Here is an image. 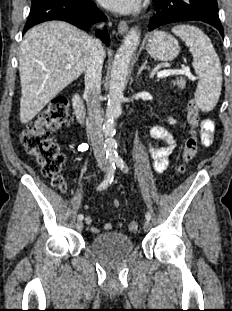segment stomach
Masks as SVG:
<instances>
[{
  "instance_id": "obj_1",
  "label": "stomach",
  "mask_w": 232,
  "mask_h": 311,
  "mask_svg": "<svg viewBox=\"0 0 232 311\" xmlns=\"http://www.w3.org/2000/svg\"><path fill=\"white\" fill-rule=\"evenodd\" d=\"M147 53L155 60L171 61L180 51L178 41L165 31H154L146 44Z\"/></svg>"
}]
</instances>
